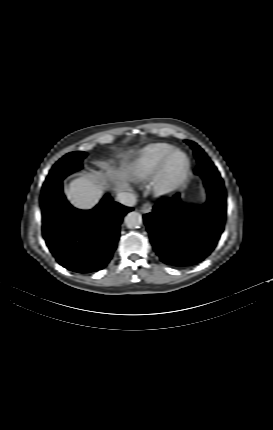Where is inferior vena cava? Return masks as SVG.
Instances as JSON below:
<instances>
[{
  "mask_svg": "<svg viewBox=\"0 0 273 430\" xmlns=\"http://www.w3.org/2000/svg\"><path fill=\"white\" fill-rule=\"evenodd\" d=\"M117 200L128 207H133L136 204V196L133 193L120 192L117 194Z\"/></svg>",
  "mask_w": 273,
  "mask_h": 430,
  "instance_id": "inferior-vena-cava-1",
  "label": "inferior vena cava"
}]
</instances>
